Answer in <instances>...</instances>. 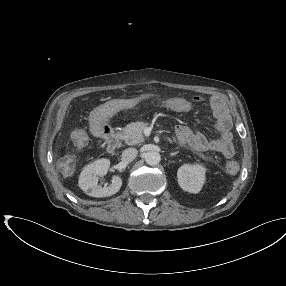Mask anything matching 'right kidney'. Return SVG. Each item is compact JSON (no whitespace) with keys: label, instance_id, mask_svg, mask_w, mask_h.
<instances>
[{"label":"right kidney","instance_id":"1","mask_svg":"<svg viewBox=\"0 0 286 286\" xmlns=\"http://www.w3.org/2000/svg\"><path fill=\"white\" fill-rule=\"evenodd\" d=\"M110 167L108 159H99L87 165L79 176V187L92 197H109L116 194L121 186L122 179L119 176H113L109 186L101 187L98 185L99 177L107 174Z\"/></svg>","mask_w":286,"mask_h":286}]
</instances>
